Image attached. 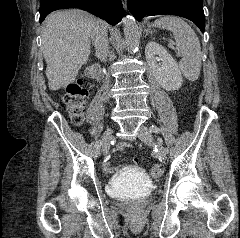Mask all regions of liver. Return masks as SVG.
I'll return each instance as SVG.
<instances>
[{
	"instance_id": "obj_1",
	"label": "liver",
	"mask_w": 240,
	"mask_h": 238,
	"mask_svg": "<svg viewBox=\"0 0 240 238\" xmlns=\"http://www.w3.org/2000/svg\"><path fill=\"white\" fill-rule=\"evenodd\" d=\"M97 26L105 24L78 9L57 11L47 17L42 51L50 90L56 91L75 81L88 61L91 34Z\"/></svg>"
}]
</instances>
